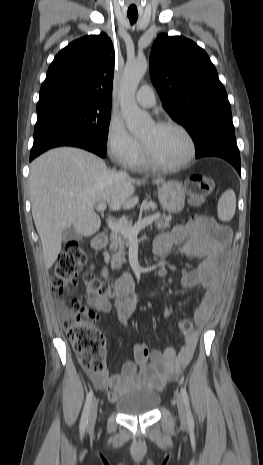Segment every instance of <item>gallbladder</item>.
<instances>
[{
    "label": "gallbladder",
    "mask_w": 263,
    "mask_h": 465,
    "mask_svg": "<svg viewBox=\"0 0 263 465\" xmlns=\"http://www.w3.org/2000/svg\"><path fill=\"white\" fill-rule=\"evenodd\" d=\"M63 240L64 241H69V240H77L80 241L82 240V235L79 234L76 230L73 228H68L65 230L64 235H63Z\"/></svg>",
    "instance_id": "bac80fb5"
}]
</instances>
